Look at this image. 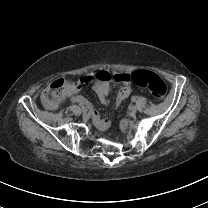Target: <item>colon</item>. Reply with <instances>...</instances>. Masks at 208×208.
<instances>
[{
    "label": "colon",
    "instance_id": "5ec220e1",
    "mask_svg": "<svg viewBox=\"0 0 208 208\" xmlns=\"http://www.w3.org/2000/svg\"><path fill=\"white\" fill-rule=\"evenodd\" d=\"M125 79L116 78L109 71H99L93 75V82L97 81H116L122 82ZM132 81L139 87L146 88L155 99H163L167 93V87L163 79L155 73L148 71H136L132 74ZM84 83L76 77H64L62 80H54L45 89L43 103L48 108H55L65 95L71 92L79 93L83 90ZM122 130L131 128L129 119L120 121Z\"/></svg>",
    "mask_w": 208,
    "mask_h": 208
}]
</instances>
